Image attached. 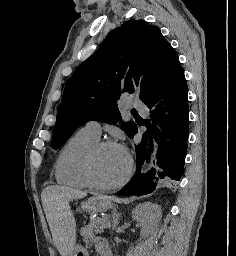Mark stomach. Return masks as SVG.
Masks as SVG:
<instances>
[{
  "mask_svg": "<svg viewBox=\"0 0 236 256\" xmlns=\"http://www.w3.org/2000/svg\"><path fill=\"white\" fill-rule=\"evenodd\" d=\"M81 207L84 211L89 213L106 212L109 208L112 207V204L106 197L97 196L91 197L87 201L83 202ZM71 256H88V252L86 248L80 245H76Z\"/></svg>",
  "mask_w": 236,
  "mask_h": 256,
  "instance_id": "1",
  "label": "stomach"
}]
</instances>
